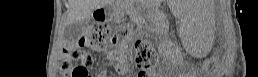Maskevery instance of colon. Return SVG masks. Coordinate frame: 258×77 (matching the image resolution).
<instances>
[{"instance_id":"colon-1","label":"colon","mask_w":258,"mask_h":77,"mask_svg":"<svg viewBox=\"0 0 258 77\" xmlns=\"http://www.w3.org/2000/svg\"><path fill=\"white\" fill-rule=\"evenodd\" d=\"M110 36V30L103 22H98L88 27L80 39L81 46L94 51L104 47L106 40ZM136 65L138 69L150 71L156 67L157 55L148 42L137 41L135 43ZM92 62L87 54L76 48L66 50L65 58L62 62V73L66 77H88L89 68ZM218 61L215 58H208L204 61L203 67L210 72L216 69Z\"/></svg>"}]
</instances>
